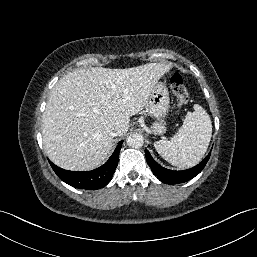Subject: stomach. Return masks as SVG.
I'll use <instances>...</instances> for the list:
<instances>
[{"label":"stomach","instance_id":"1","mask_svg":"<svg viewBox=\"0 0 257 257\" xmlns=\"http://www.w3.org/2000/svg\"><path fill=\"white\" fill-rule=\"evenodd\" d=\"M169 92L164 82L157 81L148 97L149 114L156 119L151 130L154 135H163L166 132L164 118L169 111Z\"/></svg>","mask_w":257,"mask_h":257}]
</instances>
